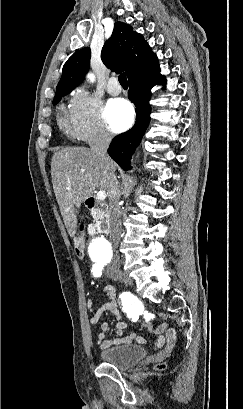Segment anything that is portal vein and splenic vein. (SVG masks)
<instances>
[{
  "mask_svg": "<svg viewBox=\"0 0 243 409\" xmlns=\"http://www.w3.org/2000/svg\"><path fill=\"white\" fill-rule=\"evenodd\" d=\"M105 198H106V192L104 190H100L97 193V199L98 200H105Z\"/></svg>",
  "mask_w": 243,
  "mask_h": 409,
  "instance_id": "portal-vein-and-splenic-vein-1",
  "label": "portal vein and splenic vein"
}]
</instances>
